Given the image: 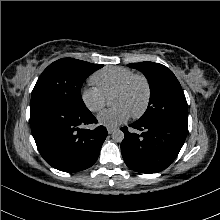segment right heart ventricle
Listing matches in <instances>:
<instances>
[{
    "mask_svg": "<svg viewBox=\"0 0 220 220\" xmlns=\"http://www.w3.org/2000/svg\"><path fill=\"white\" fill-rule=\"evenodd\" d=\"M132 75H134V72L125 67H106L97 71L92 76L91 82L103 92L106 97H109Z\"/></svg>",
    "mask_w": 220,
    "mask_h": 220,
    "instance_id": "e07e8e85",
    "label": "right heart ventricle"
}]
</instances>
